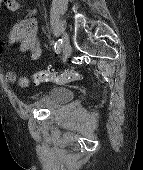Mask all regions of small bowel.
I'll list each match as a JSON object with an SVG mask.
<instances>
[{
	"mask_svg": "<svg viewBox=\"0 0 143 170\" xmlns=\"http://www.w3.org/2000/svg\"><path fill=\"white\" fill-rule=\"evenodd\" d=\"M1 6L9 12H16L20 8V3L18 0H8L6 3L1 4L0 7ZM14 43H19L21 52L29 53L30 61L35 62L40 58L41 48L37 39V21L34 12L20 19L10 29L5 44L10 45ZM3 48L4 44H0V58L3 53ZM5 79L9 83H15L17 81V75L13 71H8L5 73ZM22 80H26L29 85V78L22 76L18 80L20 86Z\"/></svg>",
	"mask_w": 143,
	"mask_h": 170,
	"instance_id": "obj_1",
	"label": "small bowel"
}]
</instances>
